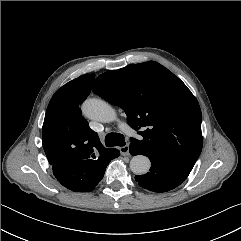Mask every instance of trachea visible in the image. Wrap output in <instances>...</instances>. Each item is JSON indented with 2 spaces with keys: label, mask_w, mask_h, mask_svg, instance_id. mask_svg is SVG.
I'll return each instance as SVG.
<instances>
[{
  "label": "trachea",
  "mask_w": 241,
  "mask_h": 241,
  "mask_svg": "<svg viewBox=\"0 0 241 241\" xmlns=\"http://www.w3.org/2000/svg\"><path fill=\"white\" fill-rule=\"evenodd\" d=\"M105 144L107 147L124 146V136L120 133H109L105 137Z\"/></svg>",
  "instance_id": "trachea-1"
}]
</instances>
